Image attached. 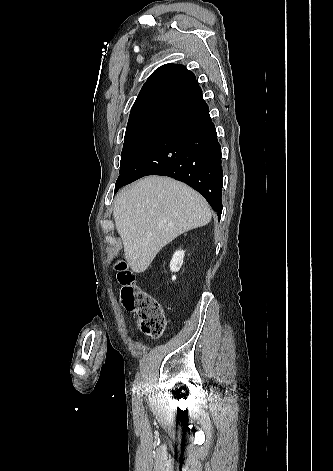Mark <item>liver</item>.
I'll return each mask as SVG.
<instances>
[{"mask_svg":"<svg viewBox=\"0 0 333 471\" xmlns=\"http://www.w3.org/2000/svg\"><path fill=\"white\" fill-rule=\"evenodd\" d=\"M113 216L129 265L142 273L176 237L207 225L211 211L206 200L186 184L149 176L120 191Z\"/></svg>","mask_w":333,"mask_h":471,"instance_id":"liver-1","label":"liver"}]
</instances>
